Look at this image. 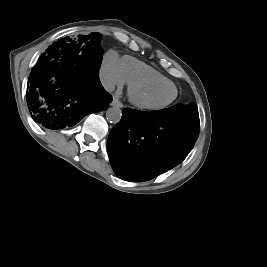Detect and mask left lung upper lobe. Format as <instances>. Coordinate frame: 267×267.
<instances>
[{
    "mask_svg": "<svg viewBox=\"0 0 267 267\" xmlns=\"http://www.w3.org/2000/svg\"><path fill=\"white\" fill-rule=\"evenodd\" d=\"M189 106L197 108L195 104H190Z\"/></svg>",
    "mask_w": 267,
    "mask_h": 267,
    "instance_id": "1",
    "label": "left lung upper lobe"
}]
</instances>
